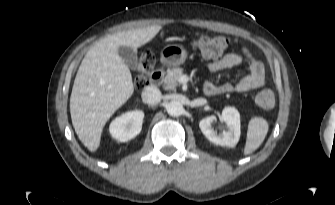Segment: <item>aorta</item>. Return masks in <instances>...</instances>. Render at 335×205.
I'll use <instances>...</instances> for the list:
<instances>
[{
	"label": "aorta",
	"mask_w": 335,
	"mask_h": 205,
	"mask_svg": "<svg viewBox=\"0 0 335 205\" xmlns=\"http://www.w3.org/2000/svg\"><path fill=\"white\" fill-rule=\"evenodd\" d=\"M167 113L170 116L178 117L181 116L184 112L183 105L178 101H171L166 106Z\"/></svg>",
	"instance_id": "obj_1"
}]
</instances>
